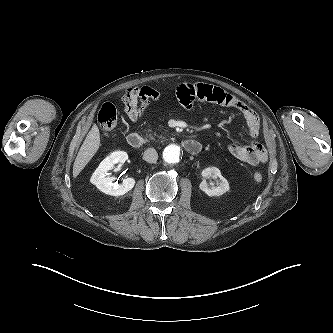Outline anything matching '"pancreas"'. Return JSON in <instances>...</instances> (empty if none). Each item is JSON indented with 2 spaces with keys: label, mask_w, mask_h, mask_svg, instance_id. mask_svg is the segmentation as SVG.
Returning <instances> with one entry per match:
<instances>
[{
  "label": "pancreas",
  "mask_w": 333,
  "mask_h": 333,
  "mask_svg": "<svg viewBox=\"0 0 333 333\" xmlns=\"http://www.w3.org/2000/svg\"><path fill=\"white\" fill-rule=\"evenodd\" d=\"M149 138H150L151 140L154 139V137L152 136V133L149 134Z\"/></svg>",
  "instance_id": "pancreas-1"
}]
</instances>
